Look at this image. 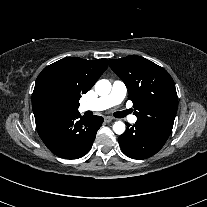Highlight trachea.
Masks as SVG:
<instances>
[{
  "label": "trachea",
  "instance_id": "1",
  "mask_svg": "<svg viewBox=\"0 0 207 207\" xmlns=\"http://www.w3.org/2000/svg\"><path fill=\"white\" fill-rule=\"evenodd\" d=\"M124 116V114H120V117H123Z\"/></svg>",
  "mask_w": 207,
  "mask_h": 207
}]
</instances>
